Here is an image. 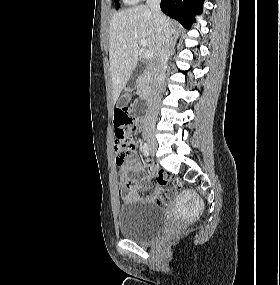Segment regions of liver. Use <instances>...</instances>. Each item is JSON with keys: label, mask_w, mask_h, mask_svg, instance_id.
<instances>
[{"label": "liver", "mask_w": 280, "mask_h": 285, "mask_svg": "<svg viewBox=\"0 0 280 285\" xmlns=\"http://www.w3.org/2000/svg\"><path fill=\"white\" fill-rule=\"evenodd\" d=\"M169 29L178 36L173 22L166 18ZM147 41V49L155 54L156 26L150 8L139 5L115 13L110 20L109 60L115 104L133 73L140 53V40Z\"/></svg>", "instance_id": "obj_1"}]
</instances>
